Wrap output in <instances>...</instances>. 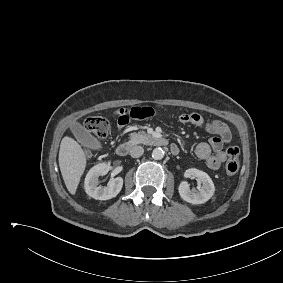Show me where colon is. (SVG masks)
Listing matches in <instances>:
<instances>
[{
	"label": "colon",
	"instance_id": "obj_1",
	"mask_svg": "<svg viewBox=\"0 0 283 283\" xmlns=\"http://www.w3.org/2000/svg\"><path fill=\"white\" fill-rule=\"evenodd\" d=\"M86 130L97 140H103L110 129L109 121L102 116L88 117L84 123ZM240 149L236 145L227 148V162L225 172L227 176H233L239 169Z\"/></svg>",
	"mask_w": 283,
	"mask_h": 283
}]
</instances>
